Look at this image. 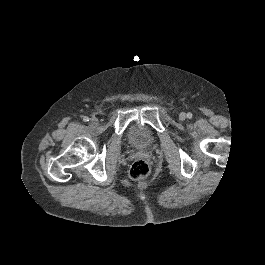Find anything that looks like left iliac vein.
<instances>
[{"label": "left iliac vein", "instance_id": "obj_1", "mask_svg": "<svg viewBox=\"0 0 265 265\" xmlns=\"http://www.w3.org/2000/svg\"><path fill=\"white\" fill-rule=\"evenodd\" d=\"M179 119L182 120V121L185 120L186 119V114L184 112H181L179 114Z\"/></svg>", "mask_w": 265, "mask_h": 265}]
</instances>
